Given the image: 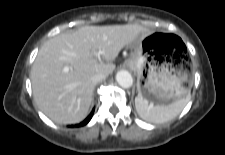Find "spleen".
I'll return each instance as SVG.
<instances>
[{"label": "spleen", "mask_w": 225, "mask_h": 155, "mask_svg": "<svg viewBox=\"0 0 225 155\" xmlns=\"http://www.w3.org/2000/svg\"><path fill=\"white\" fill-rule=\"evenodd\" d=\"M189 99L190 94L168 105H153L138 95L135 98V107L142 119L152 123H164L178 116Z\"/></svg>", "instance_id": "obj_1"}]
</instances>
